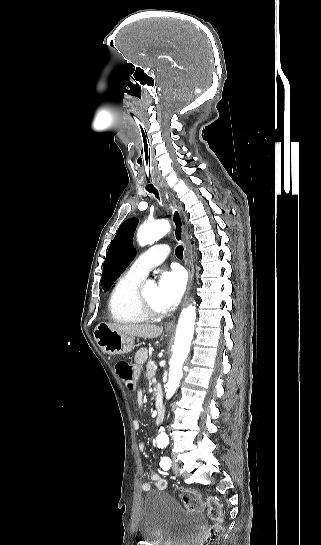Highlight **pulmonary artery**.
Returning <instances> with one entry per match:
<instances>
[{
	"instance_id": "e3ab8cb5",
	"label": "pulmonary artery",
	"mask_w": 321,
	"mask_h": 545,
	"mask_svg": "<svg viewBox=\"0 0 321 545\" xmlns=\"http://www.w3.org/2000/svg\"><path fill=\"white\" fill-rule=\"evenodd\" d=\"M157 247L159 250L150 248L140 253L130 265L128 272L137 278L144 279L154 266L166 259L165 244L161 242Z\"/></svg>"
}]
</instances>
